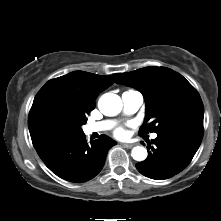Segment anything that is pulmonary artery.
<instances>
[{
    "mask_svg": "<svg viewBox=\"0 0 221 221\" xmlns=\"http://www.w3.org/2000/svg\"><path fill=\"white\" fill-rule=\"evenodd\" d=\"M121 98H122V102L124 106V111L127 114L135 113L143 104V97L141 93L134 91V90H129V91L124 92ZM113 124L114 122L110 120L90 123L86 125L85 131L89 134H92L95 132H102V131L110 129L113 126ZM151 137L155 139L157 137V134L153 133Z\"/></svg>",
    "mask_w": 221,
    "mask_h": 221,
    "instance_id": "e3ab8cb5",
    "label": "pulmonary artery"
}]
</instances>
